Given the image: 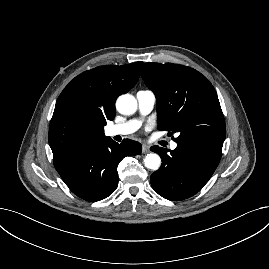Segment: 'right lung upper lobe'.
Segmentation results:
<instances>
[{"mask_svg":"<svg viewBox=\"0 0 269 269\" xmlns=\"http://www.w3.org/2000/svg\"><path fill=\"white\" fill-rule=\"evenodd\" d=\"M142 64L99 66L68 83L57 99L49 127L54 158L106 138L104 126L114 119L116 98L134 87Z\"/></svg>","mask_w":269,"mask_h":269,"instance_id":"cb5924a9","label":"right lung upper lobe"}]
</instances>
